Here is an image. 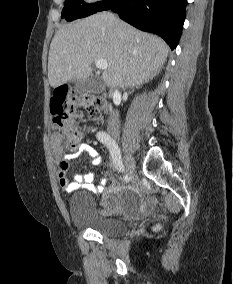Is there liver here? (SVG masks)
<instances>
[{"label": "liver", "instance_id": "obj_1", "mask_svg": "<svg viewBox=\"0 0 233 284\" xmlns=\"http://www.w3.org/2000/svg\"><path fill=\"white\" fill-rule=\"evenodd\" d=\"M169 47L161 38L141 32L110 13H97L61 27L48 57L53 88L88 78L92 62L104 59L102 80L110 88H133L153 79L163 67Z\"/></svg>", "mask_w": 233, "mask_h": 284}]
</instances>
